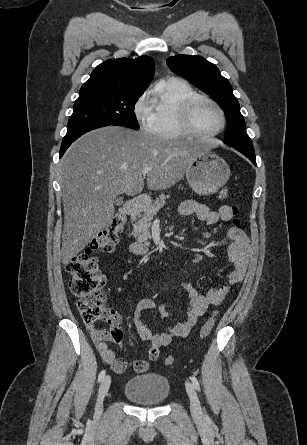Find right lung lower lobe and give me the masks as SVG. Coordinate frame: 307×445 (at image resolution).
<instances>
[{
    "mask_svg": "<svg viewBox=\"0 0 307 445\" xmlns=\"http://www.w3.org/2000/svg\"><path fill=\"white\" fill-rule=\"evenodd\" d=\"M104 126H107V125H88V126H84V127L78 128L73 131H67V134L62 141V145H61V149H60V158L63 156L66 149L81 135H83L84 133L91 131L93 129L104 127Z\"/></svg>",
    "mask_w": 307,
    "mask_h": 445,
    "instance_id": "1",
    "label": "right lung lower lobe"
}]
</instances>
